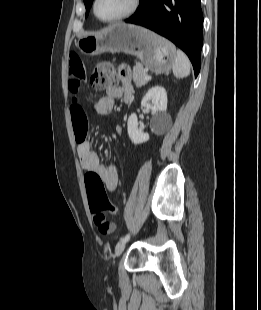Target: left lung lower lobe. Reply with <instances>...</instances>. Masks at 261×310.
Returning <instances> with one entry per match:
<instances>
[{"mask_svg": "<svg viewBox=\"0 0 261 310\" xmlns=\"http://www.w3.org/2000/svg\"><path fill=\"white\" fill-rule=\"evenodd\" d=\"M125 22L144 26L171 40L188 55L198 75L203 44L200 0H140L135 14Z\"/></svg>", "mask_w": 261, "mask_h": 310, "instance_id": "left-lung-lower-lobe-1", "label": "left lung lower lobe"}]
</instances>
